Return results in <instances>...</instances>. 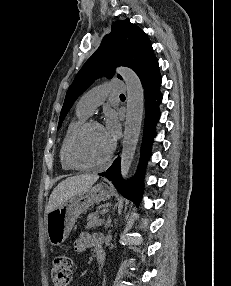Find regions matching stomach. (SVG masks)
Returning a JSON list of instances; mask_svg holds the SVG:
<instances>
[{
	"mask_svg": "<svg viewBox=\"0 0 231 286\" xmlns=\"http://www.w3.org/2000/svg\"><path fill=\"white\" fill-rule=\"evenodd\" d=\"M113 189L101 182L76 193L47 214L46 233L51 245H61L69 236L77 218L89 207L110 199Z\"/></svg>",
	"mask_w": 231,
	"mask_h": 286,
	"instance_id": "stomach-1",
	"label": "stomach"
}]
</instances>
